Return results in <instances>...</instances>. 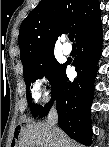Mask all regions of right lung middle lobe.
<instances>
[{"instance_id": "dd1d6c3e", "label": "right lung middle lobe", "mask_w": 109, "mask_h": 147, "mask_svg": "<svg viewBox=\"0 0 109 147\" xmlns=\"http://www.w3.org/2000/svg\"><path fill=\"white\" fill-rule=\"evenodd\" d=\"M62 67L63 65L56 61L52 52L42 57L37 63L24 68L23 75L26 84L28 107L34 117H37L40 114L43 107L41 105L33 104L30 95V84L36 79H40L45 76L51 82V86H53L62 70Z\"/></svg>"}]
</instances>
